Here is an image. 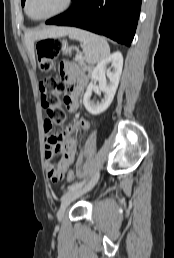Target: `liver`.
I'll use <instances>...</instances> for the list:
<instances>
[{
  "label": "liver",
  "mask_w": 174,
  "mask_h": 258,
  "mask_svg": "<svg viewBox=\"0 0 174 258\" xmlns=\"http://www.w3.org/2000/svg\"><path fill=\"white\" fill-rule=\"evenodd\" d=\"M69 28L49 27L41 31H31L25 34V44L29 52L34 56V42L37 39L62 37L68 34Z\"/></svg>",
  "instance_id": "1"
}]
</instances>
